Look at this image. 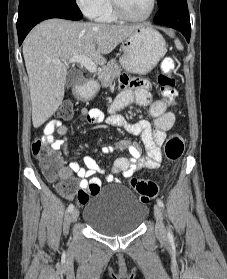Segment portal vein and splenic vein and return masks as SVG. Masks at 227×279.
<instances>
[{
	"label": "portal vein and splenic vein",
	"mask_w": 227,
	"mask_h": 279,
	"mask_svg": "<svg viewBox=\"0 0 227 279\" xmlns=\"http://www.w3.org/2000/svg\"><path fill=\"white\" fill-rule=\"evenodd\" d=\"M55 63L60 64V61H55ZM67 63H79L92 73L97 71L96 64L86 55L71 57Z\"/></svg>",
	"instance_id": "portal-vein-and-splenic-vein-1"
}]
</instances>
